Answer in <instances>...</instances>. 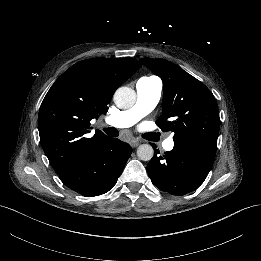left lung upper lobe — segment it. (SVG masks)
Listing matches in <instances>:
<instances>
[{
	"instance_id": "5c2ea615",
	"label": "left lung upper lobe",
	"mask_w": 261,
	"mask_h": 261,
	"mask_svg": "<svg viewBox=\"0 0 261 261\" xmlns=\"http://www.w3.org/2000/svg\"><path fill=\"white\" fill-rule=\"evenodd\" d=\"M140 61L163 81L162 117L156 121L161 130L172 131L174 142L199 140L216 146L220 120L211 91L170 61Z\"/></svg>"
}]
</instances>
